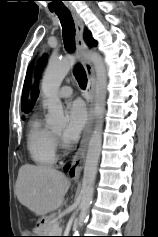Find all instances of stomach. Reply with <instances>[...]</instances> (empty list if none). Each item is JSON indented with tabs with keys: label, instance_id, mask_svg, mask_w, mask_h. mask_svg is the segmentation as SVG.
Segmentation results:
<instances>
[{
	"label": "stomach",
	"instance_id": "0dacf381",
	"mask_svg": "<svg viewBox=\"0 0 158 237\" xmlns=\"http://www.w3.org/2000/svg\"><path fill=\"white\" fill-rule=\"evenodd\" d=\"M41 233H42V232H40V235H37V236H44V235H42Z\"/></svg>",
	"mask_w": 158,
	"mask_h": 237
}]
</instances>
